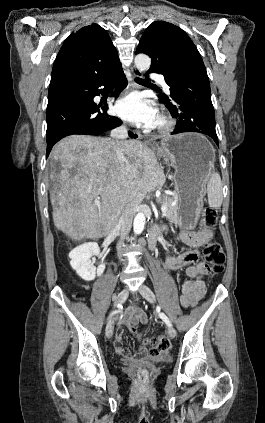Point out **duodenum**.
<instances>
[{"mask_svg":"<svg viewBox=\"0 0 265 423\" xmlns=\"http://www.w3.org/2000/svg\"><path fill=\"white\" fill-rule=\"evenodd\" d=\"M161 231L157 227H153L149 231V247L152 251H154L157 247L158 238L161 235Z\"/></svg>","mask_w":265,"mask_h":423,"instance_id":"410a0bca","label":"duodenum"}]
</instances>
